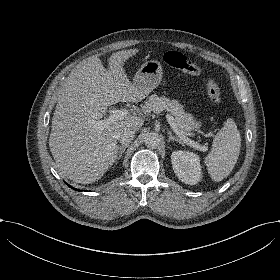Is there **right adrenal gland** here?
Here are the masks:
<instances>
[{
	"instance_id": "right-adrenal-gland-1",
	"label": "right adrenal gland",
	"mask_w": 280,
	"mask_h": 280,
	"mask_svg": "<svg viewBox=\"0 0 280 280\" xmlns=\"http://www.w3.org/2000/svg\"><path fill=\"white\" fill-rule=\"evenodd\" d=\"M118 153L115 157V161H119L120 157L122 156V154L124 153V151L126 150V145H122V146H118Z\"/></svg>"
}]
</instances>
